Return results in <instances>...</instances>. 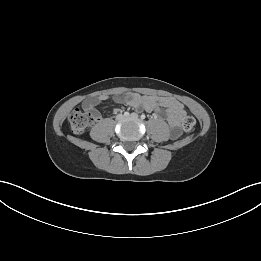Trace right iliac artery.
<instances>
[{"label":"right iliac artery","mask_w":261,"mask_h":261,"mask_svg":"<svg viewBox=\"0 0 261 261\" xmlns=\"http://www.w3.org/2000/svg\"><path fill=\"white\" fill-rule=\"evenodd\" d=\"M124 116H129V112H124Z\"/></svg>","instance_id":"1"}]
</instances>
